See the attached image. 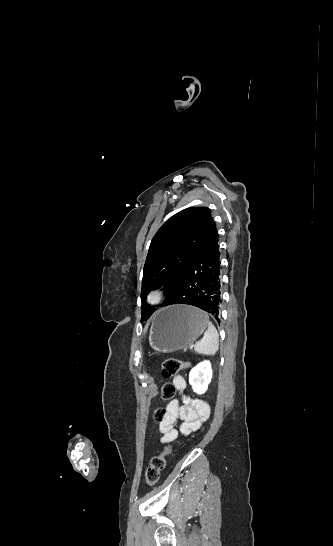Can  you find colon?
<instances>
[{"instance_id": "colon-1", "label": "colon", "mask_w": 333, "mask_h": 546, "mask_svg": "<svg viewBox=\"0 0 333 546\" xmlns=\"http://www.w3.org/2000/svg\"><path fill=\"white\" fill-rule=\"evenodd\" d=\"M187 363L174 358L165 359L160 367L161 377L168 379L175 377L182 369L187 367ZM175 395V388L170 383H164L162 386V397L164 399H170ZM164 410L162 408L156 409L154 418L157 421H161L164 416ZM171 453V447H166L159 455L154 456L151 459L150 465L146 470L145 480L150 486L155 485L161 476V472L166 465V456Z\"/></svg>"}]
</instances>
